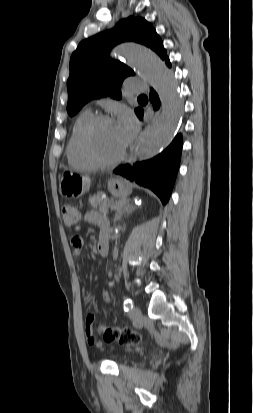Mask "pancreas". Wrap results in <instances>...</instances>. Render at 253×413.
Returning a JSON list of instances; mask_svg holds the SVG:
<instances>
[{"instance_id":"1","label":"pancreas","mask_w":253,"mask_h":413,"mask_svg":"<svg viewBox=\"0 0 253 413\" xmlns=\"http://www.w3.org/2000/svg\"><path fill=\"white\" fill-rule=\"evenodd\" d=\"M89 202L93 208H98L102 213H108L110 206H112L109 198H103V193L98 192L89 198Z\"/></svg>"}]
</instances>
